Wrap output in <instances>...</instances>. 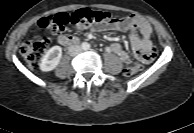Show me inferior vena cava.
I'll use <instances>...</instances> for the list:
<instances>
[{
	"label": "inferior vena cava",
	"instance_id": "inferior-vena-cava-1",
	"mask_svg": "<svg viewBox=\"0 0 194 133\" xmlns=\"http://www.w3.org/2000/svg\"><path fill=\"white\" fill-rule=\"evenodd\" d=\"M82 52V48L78 45H72L69 47L68 53L70 56L75 57Z\"/></svg>",
	"mask_w": 194,
	"mask_h": 133
}]
</instances>
